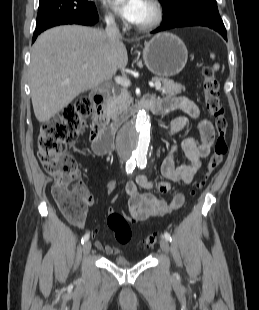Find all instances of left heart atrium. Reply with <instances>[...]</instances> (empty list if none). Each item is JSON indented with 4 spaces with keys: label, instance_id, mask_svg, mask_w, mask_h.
Returning <instances> with one entry per match:
<instances>
[{
    "label": "left heart atrium",
    "instance_id": "39dd6f15",
    "mask_svg": "<svg viewBox=\"0 0 259 310\" xmlns=\"http://www.w3.org/2000/svg\"><path fill=\"white\" fill-rule=\"evenodd\" d=\"M144 0H110L114 10L125 20L135 23Z\"/></svg>",
    "mask_w": 259,
    "mask_h": 310
}]
</instances>
